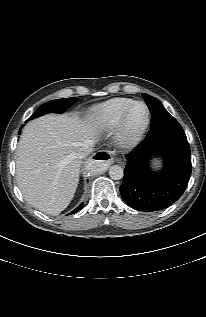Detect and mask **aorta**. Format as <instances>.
I'll return each instance as SVG.
<instances>
[{
    "instance_id": "obj_1",
    "label": "aorta",
    "mask_w": 206,
    "mask_h": 317,
    "mask_svg": "<svg viewBox=\"0 0 206 317\" xmlns=\"http://www.w3.org/2000/svg\"><path fill=\"white\" fill-rule=\"evenodd\" d=\"M92 168H90L92 171H97V166L96 165H92ZM109 176L111 177V179L113 180H120L123 178L124 176V171L123 168L119 165H113L110 167L109 169Z\"/></svg>"
}]
</instances>
